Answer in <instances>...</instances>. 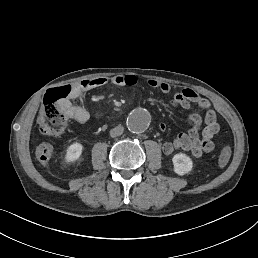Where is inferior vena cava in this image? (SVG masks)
<instances>
[{"label":"inferior vena cava","instance_id":"602c4592","mask_svg":"<svg viewBox=\"0 0 258 258\" xmlns=\"http://www.w3.org/2000/svg\"><path fill=\"white\" fill-rule=\"evenodd\" d=\"M124 132V127L123 126H116L115 128L110 130V136L111 137H117L122 135Z\"/></svg>","mask_w":258,"mask_h":258}]
</instances>
